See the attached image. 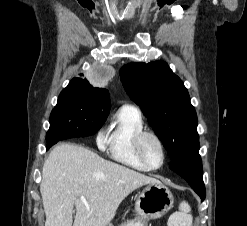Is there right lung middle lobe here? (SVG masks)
Returning a JSON list of instances; mask_svg holds the SVG:
<instances>
[{"label": "right lung middle lobe", "instance_id": "dd1d6c3e", "mask_svg": "<svg viewBox=\"0 0 247 226\" xmlns=\"http://www.w3.org/2000/svg\"><path fill=\"white\" fill-rule=\"evenodd\" d=\"M95 97L65 88L50 115L47 142L94 134L106 121L108 111Z\"/></svg>", "mask_w": 247, "mask_h": 226}]
</instances>
